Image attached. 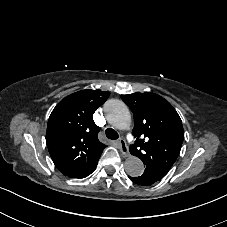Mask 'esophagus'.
I'll use <instances>...</instances> for the list:
<instances>
[{
  "instance_id": "34e87169",
  "label": "esophagus",
  "mask_w": 227,
  "mask_h": 227,
  "mask_svg": "<svg viewBox=\"0 0 227 227\" xmlns=\"http://www.w3.org/2000/svg\"><path fill=\"white\" fill-rule=\"evenodd\" d=\"M118 143H119L121 153L126 157L130 156L129 148L126 142L123 139H120Z\"/></svg>"
}]
</instances>
